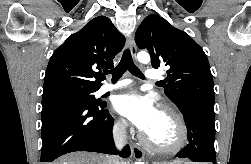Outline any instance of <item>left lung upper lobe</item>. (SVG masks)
I'll use <instances>...</instances> for the list:
<instances>
[{"label": "left lung upper lobe", "mask_w": 251, "mask_h": 164, "mask_svg": "<svg viewBox=\"0 0 251 164\" xmlns=\"http://www.w3.org/2000/svg\"><path fill=\"white\" fill-rule=\"evenodd\" d=\"M135 41L140 49H148L153 68H169L165 94L179 110L192 104L214 107L213 78L207 56L188 34L151 14L138 27Z\"/></svg>", "instance_id": "5c2ea615"}]
</instances>
